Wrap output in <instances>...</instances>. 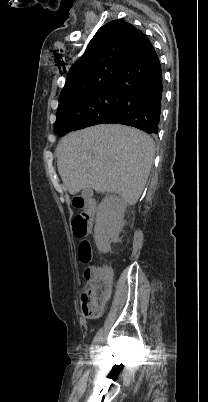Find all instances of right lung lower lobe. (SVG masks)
Instances as JSON below:
<instances>
[{"mask_svg": "<svg viewBox=\"0 0 208 402\" xmlns=\"http://www.w3.org/2000/svg\"><path fill=\"white\" fill-rule=\"evenodd\" d=\"M117 107L96 116L60 122L56 134L103 124L119 123L157 134L163 103L162 70L159 58L149 39L114 79Z\"/></svg>", "mask_w": 208, "mask_h": 402, "instance_id": "obj_1", "label": "right lung lower lobe"}]
</instances>
